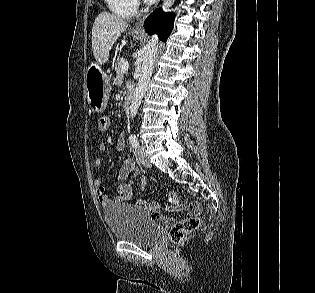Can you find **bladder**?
Here are the masks:
<instances>
[{"label":"bladder","instance_id":"1","mask_svg":"<svg viewBox=\"0 0 315 293\" xmlns=\"http://www.w3.org/2000/svg\"><path fill=\"white\" fill-rule=\"evenodd\" d=\"M104 217L117 240L150 246L160 236L157 224L139 206L127 203L115 204L105 210Z\"/></svg>","mask_w":315,"mask_h":293}]
</instances>
